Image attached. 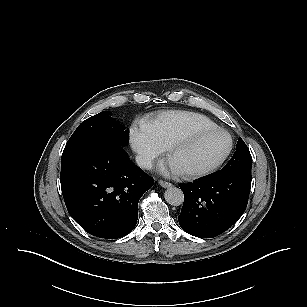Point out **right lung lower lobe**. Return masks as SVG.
Returning <instances> with one entry per match:
<instances>
[{"label": "right lung lower lobe", "instance_id": "1", "mask_svg": "<svg viewBox=\"0 0 307 307\" xmlns=\"http://www.w3.org/2000/svg\"><path fill=\"white\" fill-rule=\"evenodd\" d=\"M61 189L69 214L89 234L117 239L133 230L138 202L154 181L119 145L90 147L62 160Z\"/></svg>", "mask_w": 307, "mask_h": 307}]
</instances>
